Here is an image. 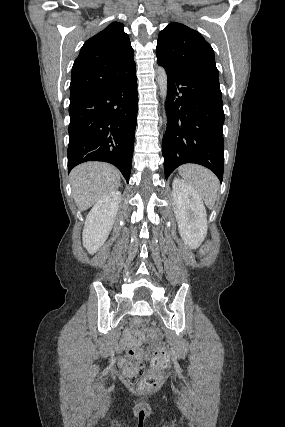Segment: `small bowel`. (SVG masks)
<instances>
[{"label":"small bowel","mask_w":285,"mask_h":427,"mask_svg":"<svg viewBox=\"0 0 285 427\" xmlns=\"http://www.w3.org/2000/svg\"><path fill=\"white\" fill-rule=\"evenodd\" d=\"M123 347L125 346L124 344L122 345ZM121 364L126 368V371L128 374H132V361H130L128 358L126 357H122L120 359Z\"/></svg>","instance_id":"small-bowel-1"}]
</instances>
